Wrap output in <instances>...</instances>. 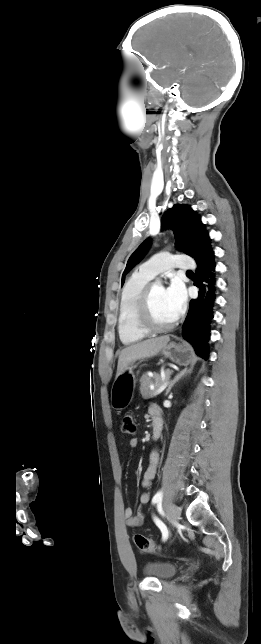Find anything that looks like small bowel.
<instances>
[{"instance_id": "c3829d8e", "label": "small bowel", "mask_w": 261, "mask_h": 644, "mask_svg": "<svg viewBox=\"0 0 261 644\" xmlns=\"http://www.w3.org/2000/svg\"><path fill=\"white\" fill-rule=\"evenodd\" d=\"M149 414L151 415V417H153L154 414H160V411L157 407L151 406L149 408ZM130 446L132 448H136L138 446V440L131 439ZM158 462H159V452L158 450H153L149 455V465L142 477L141 484L144 488L149 487L151 484V481L155 477ZM149 502H150L149 494L146 492L142 493L139 498L140 507L148 505ZM124 516H125L127 525L132 528L141 527L145 521V516L140 509L138 510L137 513H134L131 507H127L124 510Z\"/></svg>"}]
</instances>
